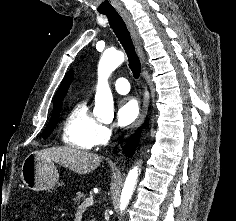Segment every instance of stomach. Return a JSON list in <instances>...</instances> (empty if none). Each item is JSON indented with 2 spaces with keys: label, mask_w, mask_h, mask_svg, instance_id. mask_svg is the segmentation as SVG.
I'll return each instance as SVG.
<instances>
[{
  "label": "stomach",
  "mask_w": 236,
  "mask_h": 221,
  "mask_svg": "<svg viewBox=\"0 0 236 221\" xmlns=\"http://www.w3.org/2000/svg\"><path fill=\"white\" fill-rule=\"evenodd\" d=\"M21 178L30 190L44 191L55 187L59 174L53 161L33 152L22 163Z\"/></svg>",
  "instance_id": "1"
}]
</instances>
